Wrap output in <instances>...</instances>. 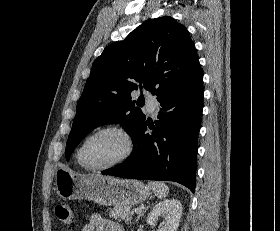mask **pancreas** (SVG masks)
<instances>
[{
  "label": "pancreas",
  "mask_w": 280,
  "mask_h": 231,
  "mask_svg": "<svg viewBox=\"0 0 280 231\" xmlns=\"http://www.w3.org/2000/svg\"><path fill=\"white\" fill-rule=\"evenodd\" d=\"M107 211H109L110 217H120V219H125L126 223L132 219L130 205H115V207H109Z\"/></svg>",
  "instance_id": "obj_1"
}]
</instances>
